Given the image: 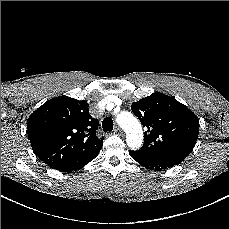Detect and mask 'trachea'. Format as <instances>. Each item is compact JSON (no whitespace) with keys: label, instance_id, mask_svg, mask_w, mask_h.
Wrapping results in <instances>:
<instances>
[{"label":"trachea","instance_id":"3493384b","mask_svg":"<svg viewBox=\"0 0 229 229\" xmlns=\"http://www.w3.org/2000/svg\"><path fill=\"white\" fill-rule=\"evenodd\" d=\"M113 125V120L110 117H106L102 121V128L104 132L112 131Z\"/></svg>","mask_w":229,"mask_h":229}]
</instances>
